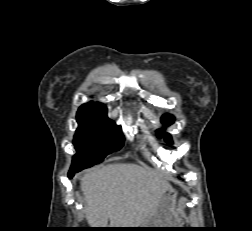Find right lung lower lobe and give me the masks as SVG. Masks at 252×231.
<instances>
[{
  "label": "right lung lower lobe",
  "mask_w": 252,
  "mask_h": 231,
  "mask_svg": "<svg viewBox=\"0 0 252 231\" xmlns=\"http://www.w3.org/2000/svg\"><path fill=\"white\" fill-rule=\"evenodd\" d=\"M79 172V170H70L69 173H68V177L69 178H72L74 176L75 173Z\"/></svg>",
  "instance_id": "right-lung-lower-lobe-1"
}]
</instances>
